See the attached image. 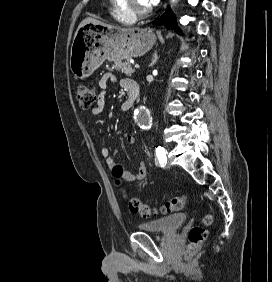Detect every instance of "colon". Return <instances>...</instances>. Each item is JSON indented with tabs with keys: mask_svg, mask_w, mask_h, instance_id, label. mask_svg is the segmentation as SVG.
I'll return each mask as SVG.
<instances>
[{
	"mask_svg": "<svg viewBox=\"0 0 272 282\" xmlns=\"http://www.w3.org/2000/svg\"><path fill=\"white\" fill-rule=\"evenodd\" d=\"M75 94L81 108L83 109L91 108L97 101V92L93 87L80 85L76 88ZM126 201L128 208L132 213L140 214L142 216H152L159 213L162 215H167L183 209L186 204V197L184 195L176 196L167 201L158 209H152L138 198H129ZM212 221L213 216L211 214H206L202 218L201 224L193 227L190 230L189 246L187 250L188 256L194 255L200 249L201 245L206 239V227L209 226Z\"/></svg>",
	"mask_w": 272,
	"mask_h": 282,
	"instance_id": "obj_1",
	"label": "colon"
}]
</instances>
